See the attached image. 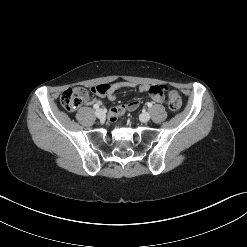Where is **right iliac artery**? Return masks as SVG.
<instances>
[{"label":"right iliac artery","instance_id":"right-iliac-artery-1","mask_svg":"<svg viewBox=\"0 0 247 247\" xmlns=\"http://www.w3.org/2000/svg\"><path fill=\"white\" fill-rule=\"evenodd\" d=\"M93 108H94V109H98V108H99V105H98V104H95V105L93 106Z\"/></svg>","mask_w":247,"mask_h":247}]
</instances>
